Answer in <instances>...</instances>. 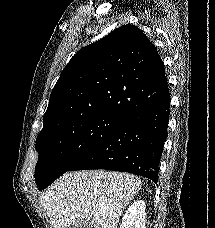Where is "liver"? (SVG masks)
Masks as SVG:
<instances>
[{"label":"liver","mask_w":215,"mask_h":228,"mask_svg":"<svg viewBox=\"0 0 215 228\" xmlns=\"http://www.w3.org/2000/svg\"><path fill=\"white\" fill-rule=\"evenodd\" d=\"M141 188L127 172H67L40 198L53 228H118L120 216Z\"/></svg>","instance_id":"obj_1"}]
</instances>
